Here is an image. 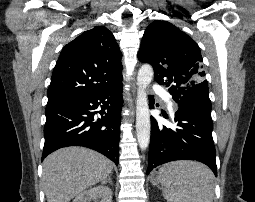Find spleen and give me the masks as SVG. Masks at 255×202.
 <instances>
[{"label": "spleen", "mask_w": 255, "mask_h": 202, "mask_svg": "<svg viewBox=\"0 0 255 202\" xmlns=\"http://www.w3.org/2000/svg\"><path fill=\"white\" fill-rule=\"evenodd\" d=\"M158 174L168 202H213L214 175L202 163L175 161L160 167Z\"/></svg>", "instance_id": "1"}]
</instances>
